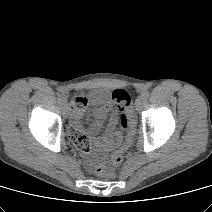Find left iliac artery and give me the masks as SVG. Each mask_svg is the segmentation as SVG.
Returning a JSON list of instances; mask_svg holds the SVG:
<instances>
[{
	"label": "left iliac artery",
	"instance_id": "1",
	"mask_svg": "<svg viewBox=\"0 0 212 212\" xmlns=\"http://www.w3.org/2000/svg\"><path fill=\"white\" fill-rule=\"evenodd\" d=\"M149 95H150L149 91L146 90V91H144V92L142 93L141 96H143L144 99L146 100V99L149 97Z\"/></svg>",
	"mask_w": 212,
	"mask_h": 212
}]
</instances>
